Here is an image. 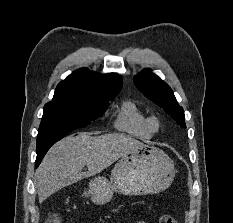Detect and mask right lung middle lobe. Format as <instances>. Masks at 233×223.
<instances>
[{"label": "right lung middle lobe", "mask_w": 233, "mask_h": 223, "mask_svg": "<svg viewBox=\"0 0 233 223\" xmlns=\"http://www.w3.org/2000/svg\"><path fill=\"white\" fill-rule=\"evenodd\" d=\"M109 103H91L71 99H53L44 106L37 136V154L49 149L66 134L85 127L100 117Z\"/></svg>", "instance_id": "1"}]
</instances>
